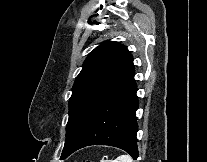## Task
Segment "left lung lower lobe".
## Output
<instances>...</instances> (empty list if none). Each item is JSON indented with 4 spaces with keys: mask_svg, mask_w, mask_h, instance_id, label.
I'll list each match as a JSON object with an SVG mask.
<instances>
[{
    "mask_svg": "<svg viewBox=\"0 0 207 162\" xmlns=\"http://www.w3.org/2000/svg\"><path fill=\"white\" fill-rule=\"evenodd\" d=\"M137 86L134 75L93 113L61 160L76 150L90 145H109L120 148L135 160L138 157L136 133L138 125Z\"/></svg>",
    "mask_w": 207,
    "mask_h": 162,
    "instance_id": "left-lung-lower-lobe-1",
    "label": "left lung lower lobe"
}]
</instances>
